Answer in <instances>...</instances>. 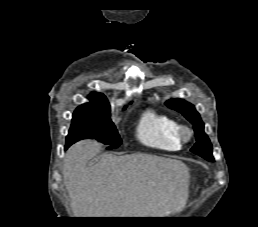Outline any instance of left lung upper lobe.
I'll list each match as a JSON object with an SVG mask.
<instances>
[{
	"label": "left lung upper lobe",
	"mask_w": 258,
	"mask_h": 227,
	"mask_svg": "<svg viewBox=\"0 0 258 227\" xmlns=\"http://www.w3.org/2000/svg\"><path fill=\"white\" fill-rule=\"evenodd\" d=\"M166 105L171 109L180 112L186 119H188L194 125V131L196 133L197 142L191 148V151L207 159L208 161H214L212 155L211 142L204 132V124L195 107L182 99L168 100L166 102Z\"/></svg>",
	"instance_id": "left-lung-upper-lobe-1"
}]
</instances>
